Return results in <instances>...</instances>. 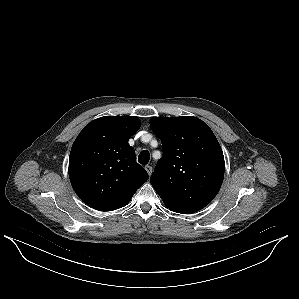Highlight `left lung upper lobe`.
Instances as JSON below:
<instances>
[{
  "mask_svg": "<svg viewBox=\"0 0 299 299\" xmlns=\"http://www.w3.org/2000/svg\"><path fill=\"white\" fill-rule=\"evenodd\" d=\"M150 128L163 150L150 182L164 204L183 214L204 208L219 192L225 170L212 130L192 116L155 117Z\"/></svg>",
  "mask_w": 299,
  "mask_h": 299,
  "instance_id": "1",
  "label": "left lung upper lobe"
}]
</instances>
